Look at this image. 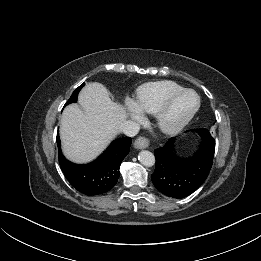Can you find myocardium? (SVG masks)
Returning a JSON list of instances; mask_svg holds the SVG:
<instances>
[{
	"instance_id": "f54148a6",
	"label": "myocardium",
	"mask_w": 261,
	"mask_h": 261,
	"mask_svg": "<svg viewBox=\"0 0 261 261\" xmlns=\"http://www.w3.org/2000/svg\"><path fill=\"white\" fill-rule=\"evenodd\" d=\"M186 93H193L197 98L195 107L184 117L178 120H170L169 114L175 101ZM201 106V97L193 89L184 88L172 94L156 113L158 128L165 134H175L181 131L195 117Z\"/></svg>"
}]
</instances>
